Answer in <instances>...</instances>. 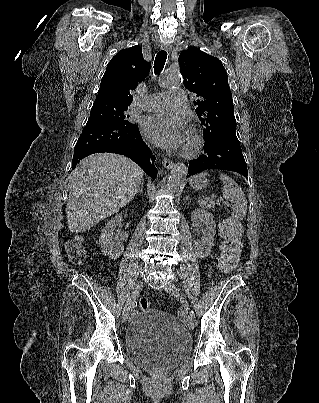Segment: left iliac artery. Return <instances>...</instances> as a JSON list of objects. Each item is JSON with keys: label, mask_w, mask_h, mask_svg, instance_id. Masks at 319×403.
<instances>
[{"label": "left iliac artery", "mask_w": 319, "mask_h": 403, "mask_svg": "<svg viewBox=\"0 0 319 403\" xmlns=\"http://www.w3.org/2000/svg\"><path fill=\"white\" fill-rule=\"evenodd\" d=\"M190 315L194 318V312L191 310Z\"/></svg>", "instance_id": "44dca946"}]
</instances>
